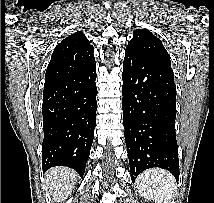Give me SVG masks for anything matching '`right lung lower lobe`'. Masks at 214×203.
I'll list each match as a JSON object with an SVG mask.
<instances>
[{
  "instance_id": "right-lung-lower-lobe-1",
  "label": "right lung lower lobe",
  "mask_w": 214,
  "mask_h": 203,
  "mask_svg": "<svg viewBox=\"0 0 214 203\" xmlns=\"http://www.w3.org/2000/svg\"><path fill=\"white\" fill-rule=\"evenodd\" d=\"M95 66L44 86V172L53 166H67L84 174L96 125Z\"/></svg>"
}]
</instances>
